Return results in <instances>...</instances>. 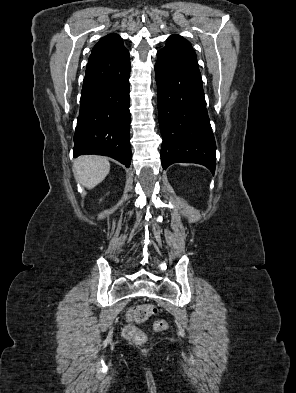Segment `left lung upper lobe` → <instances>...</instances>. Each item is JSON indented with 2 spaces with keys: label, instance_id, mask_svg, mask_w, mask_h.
Here are the masks:
<instances>
[{
  "label": "left lung upper lobe",
  "instance_id": "obj_1",
  "mask_svg": "<svg viewBox=\"0 0 296 393\" xmlns=\"http://www.w3.org/2000/svg\"><path fill=\"white\" fill-rule=\"evenodd\" d=\"M158 52L178 59L197 60L190 42L179 35H171L167 39L166 46Z\"/></svg>",
  "mask_w": 296,
  "mask_h": 393
}]
</instances>
